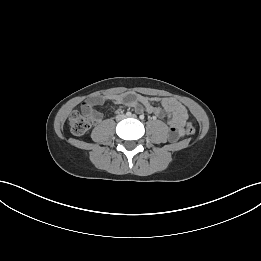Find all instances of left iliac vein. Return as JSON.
<instances>
[{"instance_id": "left-iliac-vein-1", "label": "left iliac vein", "mask_w": 261, "mask_h": 261, "mask_svg": "<svg viewBox=\"0 0 261 261\" xmlns=\"http://www.w3.org/2000/svg\"><path fill=\"white\" fill-rule=\"evenodd\" d=\"M131 117H132V118H136V115H132Z\"/></svg>"}]
</instances>
